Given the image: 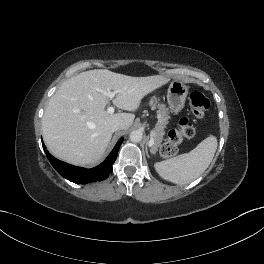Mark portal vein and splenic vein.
Wrapping results in <instances>:
<instances>
[{
    "instance_id": "portal-vein-and-splenic-vein-1",
    "label": "portal vein and splenic vein",
    "mask_w": 264,
    "mask_h": 264,
    "mask_svg": "<svg viewBox=\"0 0 264 264\" xmlns=\"http://www.w3.org/2000/svg\"><path fill=\"white\" fill-rule=\"evenodd\" d=\"M117 92H119V91H116V92H115V91H113V92L109 91V92L106 93V95H107L110 99H113V98L115 97V94H116ZM107 112H108L109 114H113V113H114V107H112V106L108 107ZM153 144H154V132H152V134H151V138H150V141H149V145H150V146H152Z\"/></svg>"
}]
</instances>
